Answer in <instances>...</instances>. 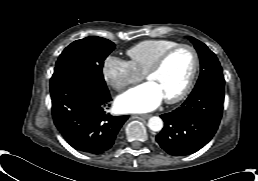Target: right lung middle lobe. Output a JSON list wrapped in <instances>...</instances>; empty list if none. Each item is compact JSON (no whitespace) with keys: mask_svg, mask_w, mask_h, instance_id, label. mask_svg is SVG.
Listing matches in <instances>:
<instances>
[{"mask_svg":"<svg viewBox=\"0 0 258 181\" xmlns=\"http://www.w3.org/2000/svg\"><path fill=\"white\" fill-rule=\"evenodd\" d=\"M114 49L115 44L102 37L91 36L74 41L60 54L54 74L68 75L93 90L107 93L102 68L104 60Z\"/></svg>","mask_w":258,"mask_h":181,"instance_id":"1","label":"right lung middle lobe"}]
</instances>
